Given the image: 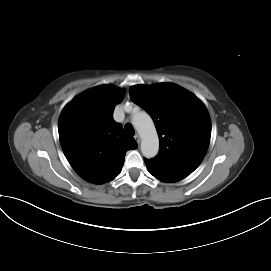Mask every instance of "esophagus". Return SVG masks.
Listing matches in <instances>:
<instances>
[{"label": "esophagus", "mask_w": 271, "mask_h": 271, "mask_svg": "<svg viewBox=\"0 0 271 271\" xmlns=\"http://www.w3.org/2000/svg\"><path fill=\"white\" fill-rule=\"evenodd\" d=\"M136 142L139 144L140 143V136L138 134H135L134 136Z\"/></svg>", "instance_id": "obj_1"}]
</instances>
